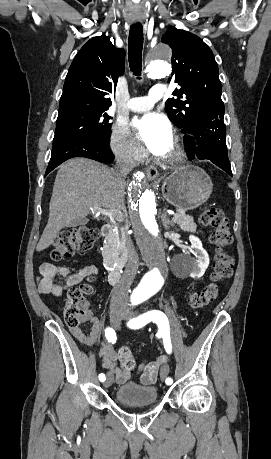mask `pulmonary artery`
<instances>
[{
    "label": "pulmonary artery",
    "mask_w": 271,
    "mask_h": 459,
    "mask_svg": "<svg viewBox=\"0 0 271 459\" xmlns=\"http://www.w3.org/2000/svg\"><path fill=\"white\" fill-rule=\"evenodd\" d=\"M155 87V89L149 90V95L147 97H137L129 100L127 108L133 112H146L152 107H155V104L158 103V98H162L163 96L162 89L165 87V84L163 82H157Z\"/></svg>",
    "instance_id": "obj_1"
}]
</instances>
